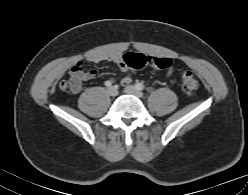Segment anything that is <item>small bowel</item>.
Segmentation results:
<instances>
[{
  "label": "small bowel",
  "instance_id": "1",
  "mask_svg": "<svg viewBox=\"0 0 248 195\" xmlns=\"http://www.w3.org/2000/svg\"><path fill=\"white\" fill-rule=\"evenodd\" d=\"M120 56L121 55H93V56H90L89 58H87L86 61L89 63H94V64H99V63H102L104 61H111V62L116 63L120 67L121 71L124 72V76L121 79V83H122V85L126 86V85H129L131 83L132 78L128 73V71H129L128 68L123 66L121 59H120ZM77 65H80L81 69L83 68L81 63H78ZM77 65H75L73 68H75ZM172 72H173V69H170L167 74L171 75ZM96 73L97 72L94 69L84 70L83 71V79L84 80H91L96 76Z\"/></svg>",
  "mask_w": 248,
  "mask_h": 195
}]
</instances>
